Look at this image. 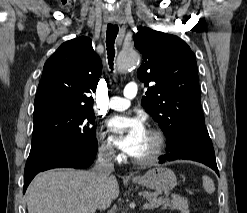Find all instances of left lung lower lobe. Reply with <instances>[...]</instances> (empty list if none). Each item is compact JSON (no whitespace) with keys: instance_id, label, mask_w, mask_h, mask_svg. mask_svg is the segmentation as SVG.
I'll return each mask as SVG.
<instances>
[{"instance_id":"0a47b994","label":"left lung lower lobe","mask_w":247,"mask_h":213,"mask_svg":"<svg viewBox=\"0 0 247 213\" xmlns=\"http://www.w3.org/2000/svg\"><path fill=\"white\" fill-rule=\"evenodd\" d=\"M166 152L165 156L160 157V163L177 159L198 161L219 175L213 145L205 126H190L184 129L179 139L167 146Z\"/></svg>"}]
</instances>
